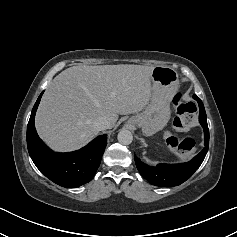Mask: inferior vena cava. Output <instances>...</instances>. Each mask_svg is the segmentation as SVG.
Instances as JSON below:
<instances>
[{
    "label": "inferior vena cava",
    "instance_id": "602c4592",
    "mask_svg": "<svg viewBox=\"0 0 237 237\" xmlns=\"http://www.w3.org/2000/svg\"><path fill=\"white\" fill-rule=\"evenodd\" d=\"M110 126H111V123L106 117H99L95 119L93 122V127L97 131L108 129L110 128Z\"/></svg>",
    "mask_w": 237,
    "mask_h": 237
}]
</instances>
